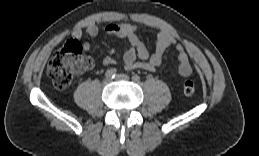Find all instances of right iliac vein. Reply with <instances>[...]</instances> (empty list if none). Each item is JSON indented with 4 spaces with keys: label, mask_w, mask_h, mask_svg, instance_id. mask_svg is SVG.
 Instances as JSON below:
<instances>
[{
    "label": "right iliac vein",
    "mask_w": 259,
    "mask_h": 156,
    "mask_svg": "<svg viewBox=\"0 0 259 156\" xmlns=\"http://www.w3.org/2000/svg\"><path fill=\"white\" fill-rule=\"evenodd\" d=\"M110 82H111V79L106 78V79L104 80V84H108V83H110Z\"/></svg>",
    "instance_id": "63e3f726"
}]
</instances>
